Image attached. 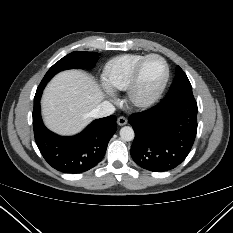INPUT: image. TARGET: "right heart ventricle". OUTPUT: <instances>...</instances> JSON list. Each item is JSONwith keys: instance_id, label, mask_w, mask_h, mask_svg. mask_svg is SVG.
I'll list each match as a JSON object with an SVG mask.
<instances>
[{"instance_id": "1", "label": "right heart ventricle", "mask_w": 233, "mask_h": 233, "mask_svg": "<svg viewBox=\"0 0 233 233\" xmlns=\"http://www.w3.org/2000/svg\"><path fill=\"white\" fill-rule=\"evenodd\" d=\"M145 56L125 54L111 59L102 73L104 87L110 92L127 90L136 66Z\"/></svg>"}]
</instances>
